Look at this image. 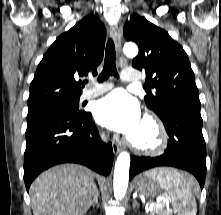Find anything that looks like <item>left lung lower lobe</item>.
Segmentation results:
<instances>
[{"instance_id":"1","label":"left lung lower lobe","mask_w":221,"mask_h":215,"mask_svg":"<svg viewBox=\"0 0 221 215\" xmlns=\"http://www.w3.org/2000/svg\"><path fill=\"white\" fill-rule=\"evenodd\" d=\"M168 133V146L158 157H133L129 179L137 173L158 166H172L192 173L201 189L206 176V145L202 134L200 109L184 104L170 103L158 115Z\"/></svg>"}]
</instances>
